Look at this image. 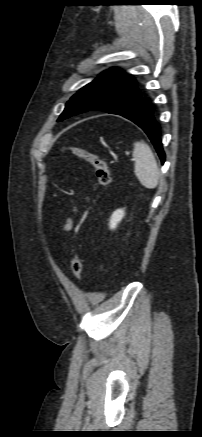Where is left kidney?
Here are the masks:
<instances>
[{
  "label": "left kidney",
  "instance_id": "obj_1",
  "mask_svg": "<svg viewBox=\"0 0 202 437\" xmlns=\"http://www.w3.org/2000/svg\"><path fill=\"white\" fill-rule=\"evenodd\" d=\"M125 212L123 209H118L116 211L113 212L111 218H110V229H115L118 225V223L122 220V218L124 217Z\"/></svg>",
  "mask_w": 202,
  "mask_h": 437
}]
</instances>
